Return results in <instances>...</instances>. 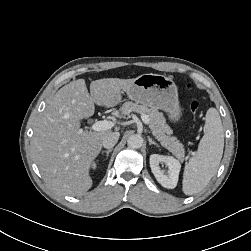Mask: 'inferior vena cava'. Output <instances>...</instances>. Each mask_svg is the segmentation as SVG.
Segmentation results:
<instances>
[{"label":"inferior vena cava","instance_id":"1","mask_svg":"<svg viewBox=\"0 0 251 251\" xmlns=\"http://www.w3.org/2000/svg\"><path fill=\"white\" fill-rule=\"evenodd\" d=\"M119 136H120L119 132H112L107 134L102 140L103 147L106 149L113 148L117 143Z\"/></svg>","mask_w":251,"mask_h":251}]
</instances>
